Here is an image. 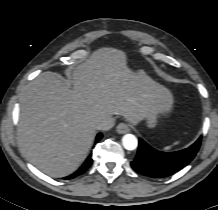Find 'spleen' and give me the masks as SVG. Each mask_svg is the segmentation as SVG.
<instances>
[{"label": "spleen", "mask_w": 218, "mask_h": 210, "mask_svg": "<svg viewBox=\"0 0 218 210\" xmlns=\"http://www.w3.org/2000/svg\"><path fill=\"white\" fill-rule=\"evenodd\" d=\"M178 142H175L174 144H177ZM171 148V146H167V147H165L164 149L165 150H168V149H170Z\"/></svg>", "instance_id": "obj_1"}]
</instances>
